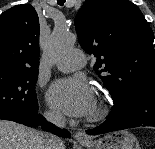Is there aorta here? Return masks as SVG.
<instances>
[{"instance_id": "obj_1", "label": "aorta", "mask_w": 155, "mask_h": 149, "mask_svg": "<svg viewBox=\"0 0 155 149\" xmlns=\"http://www.w3.org/2000/svg\"><path fill=\"white\" fill-rule=\"evenodd\" d=\"M76 37L69 32L67 26L55 27L46 48V58L55 62L61 55L71 50L75 44Z\"/></svg>"}]
</instances>
